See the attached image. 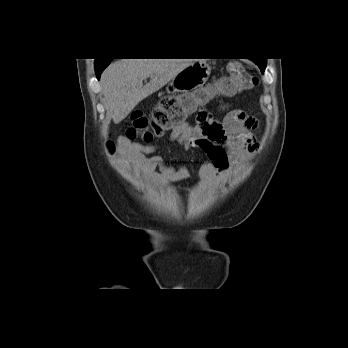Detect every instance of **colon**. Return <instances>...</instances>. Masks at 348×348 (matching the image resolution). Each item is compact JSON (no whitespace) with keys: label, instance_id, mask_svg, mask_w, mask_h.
<instances>
[{"label":"colon","instance_id":"colon-1","mask_svg":"<svg viewBox=\"0 0 348 348\" xmlns=\"http://www.w3.org/2000/svg\"><path fill=\"white\" fill-rule=\"evenodd\" d=\"M229 76L216 84V89L223 94L244 92L257 84V78L239 62H232L228 66ZM193 104L187 96H163L150 116L136 111L131 115L130 124L126 130L129 140L140 139L146 142L161 137L170 129L181 125L192 111ZM199 113L197 121H199ZM114 151V144H110Z\"/></svg>","mask_w":348,"mask_h":348}]
</instances>
